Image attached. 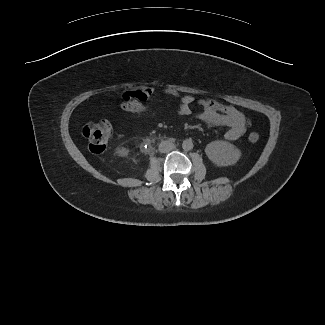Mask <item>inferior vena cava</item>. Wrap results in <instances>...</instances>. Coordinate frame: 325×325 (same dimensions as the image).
Wrapping results in <instances>:
<instances>
[{"mask_svg": "<svg viewBox=\"0 0 325 325\" xmlns=\"http://www.w3.org/2000/svg\"><path fill=\"white\" fill-rule=\"evenodd\" d=\"M175 149V145L170 141H163L159 145V151L161 153H168Z\"/></svg>", "mask_w": 325, "mask_h": 325, "instance_id": "602c4592", "label": "inferior vena cava"}]
</instances>
